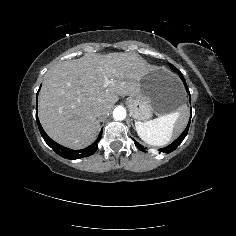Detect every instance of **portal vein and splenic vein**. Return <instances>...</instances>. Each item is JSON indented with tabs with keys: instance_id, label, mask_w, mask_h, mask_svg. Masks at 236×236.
<instances>
[{
	"instance_id": "portal-vein-and-splenic-vein-1",
	"label": "portal vein and splenic vein",
	"mask_w": 236,
	"mask_h": 236,
	"mask_svg": "<svg viewBox=\"0 0 236 236\" xmlns=\"http://www.w3.org/2000/svg\"><path fill=\"white\" fill-rule=\"evenodd\" d=\"M109 84H110V80H109V78L105 75V76H104V79H103V84H102V86L100 87V90H101V91L106 90L107 87L109 86Z\"/></svg>"
}]
</instances>
